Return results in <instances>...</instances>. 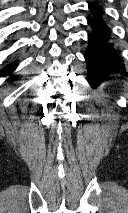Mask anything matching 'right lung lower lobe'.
Returning a JSON list of instances; mask_svg holds the SVG:
<instances>
[{
	"label": "right lung lower lobe",
	"instance_id": "1",
	"mask_svg": "<svg viewBox=\"0 0 128 213\" xmlns=\"http://www.w3.org/2000/svg\"><path fill=\"white\" fill-rule=\"evenodd\" d=\"M15 67H16V64H11L7 66L6 70L9 72V71H12ZM14 78H15L14 75L10 76V79H14Z\"/></svg>",
	"mask_w": 128,
	"mask_h": 213
}]
</instances>
